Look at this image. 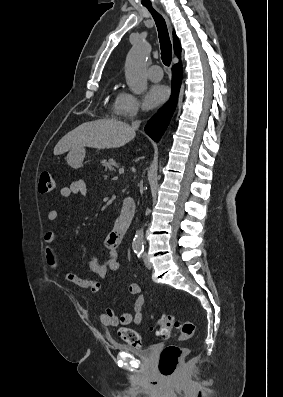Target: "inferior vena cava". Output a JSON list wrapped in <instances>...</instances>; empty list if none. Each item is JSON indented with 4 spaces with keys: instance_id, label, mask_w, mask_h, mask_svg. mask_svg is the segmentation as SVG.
<instances>
[{
    "instance_id": "obj_1",
    "label": "inferior vena cava",
    "mask_w": 283,
    "mask_h": 397,
    "mask_svg": "<svg viewBox=\"0 0 283 397\" xmlns=\"http://www.w3.org/2000/svg\"><path fill=\"white\" fill-rule=\"evenodd\" d=\"M140 126V121L136 120L132 122V127L136 130Z\"/></svg>"
}]
</instances>
